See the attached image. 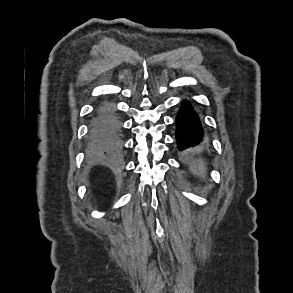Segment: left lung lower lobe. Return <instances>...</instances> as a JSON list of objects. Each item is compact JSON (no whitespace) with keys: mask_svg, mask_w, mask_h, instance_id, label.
<instances>
[{"mask_svg":"<svg viewBox=\"0 0 293 293\" xmlns=\"http://www.w3.org/2000/svg\"><path fill=\"white\" fill-rule=\"evenodd\" d=\"M176 140L179 150L195 146L204 141V132L196 111L185 102L176 119Z\"/></svg>","mask_w":293,"mask_h":293,"instance_id":"obj_1","label":"left lung lower lobe"}]
</instances>
